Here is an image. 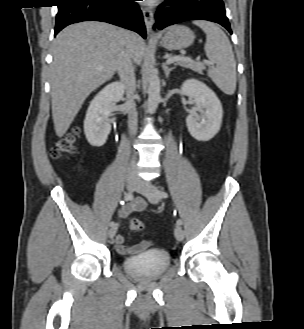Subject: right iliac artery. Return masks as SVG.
Masks as SVG:
<instances>
[{
	"label": "right iliac artery",
	"instance_id": "obj_1",
	"mask_svg": "<svg viewBox=\"0 0 304 329\" xmlns=\"http://www.w3.org/2000/svg\"><path fill=\"white\" fill-rule=\"evenodd\" d=\"M132 198H133V194H132L131 192L125 194V196H124V200H125V201L132 200ZM109 225L112 227V226L115 225V222L112 221V222L109 223Z\"/></svg>",
	"mask_w": 304,
	"mask_h": 329
}]
</instances>
